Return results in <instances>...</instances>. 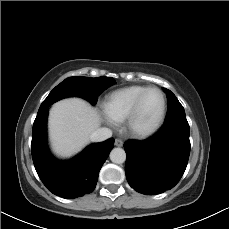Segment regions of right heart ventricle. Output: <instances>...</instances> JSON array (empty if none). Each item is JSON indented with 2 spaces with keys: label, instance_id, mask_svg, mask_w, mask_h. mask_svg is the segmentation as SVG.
I'll use <instances>...</instances> for the list:
<instances>
[{
  "label": "right heart ventricle",
  "instance_id": "e07e8e85",
  "mask_svg": "<svg viewBox=\"0 0 229 229\" xmlns=\"http://www.w3.org/2000/svg\"><path fill=\"white\" fill-rule=\"evenodd\" d=\"M148 88V86L133 85L110 93L103 102L105 114L114 122L125 120L136 98Z\"/></svg>",
  "mask_w": 229,
  "mask_h": 229
}]
</instances>
